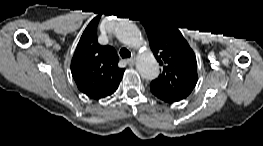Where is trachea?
<instances>
[{"label": "trachea", "mask_w": 263, "mask_h": 146, "mask_svg": "<svg viewBox=\"0 0 263 146\" xmlns=\"http://www.w3.org/2000/svg\"><path fill=\"white\" fill-rule=\"evenodd\" d=\"M120 56H121L122 58H129V57L131 56V53H130V51H129L128 49L122 48V49L120 50Z\"/></svg>", "instance_id": "1"}]
</instances>
